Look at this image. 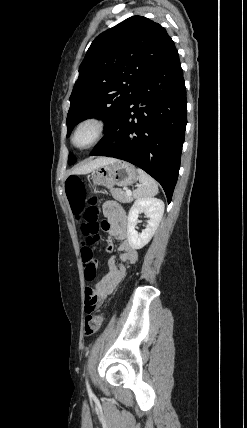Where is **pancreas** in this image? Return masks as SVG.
Returning a JSON list of instances; mask_svg holds the SVG:
<instances>
[{
  "mask_svg": "<svg viewBox=\"0 0 247 428\" xmlns=\"http://www.w3.org/2000/svg\"><path fill=\"white\" fill-rule=\"evenodd\" d=\"M110 192L115 200L122 203H131L133 201L132 196H128L122 189L112 188Z\"/></svg>",
  "mask_w": 247,
  "mask_h": 428,
  "instance_id": "pancreas-1",
  "label": "pancreas"
}]
</instances>
